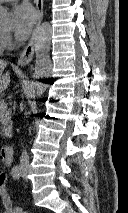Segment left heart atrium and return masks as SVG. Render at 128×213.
Masks as SVG:
<instances>
[{
	"mask_svg": "<svg viewBox=\"0 0 128 213\" xmlns=\"http://www.w3.org/2000/svg\"><path fill=\"white\" fill-rule=\"evenodd\" d=\"M36 21L34 9L24 3L13 9V33L18 41L25 40L30 34Z\"/></svg>",
	"mask_w": 128,
	"mask_h": 213,
	"instance_id": "left-heart-atrium-1",
	"label": "left heart atrium"
}]
</instances>
